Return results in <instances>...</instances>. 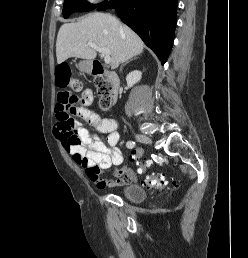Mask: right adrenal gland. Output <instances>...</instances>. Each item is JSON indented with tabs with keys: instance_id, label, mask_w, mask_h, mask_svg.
<instances>
[{
	"instance_id": "right-adrenal-gland-1",
	"label": "right adrenal gland",
	"mask_w": 248,
	"mask_h": 258,
	"mask_svg": "<svg viewBox=\"0 0 248 258\" xmlns=\"http://www.w3.org/2000/svg\"><path fill=\"white\" fill-rule=\"evenodd\" d=\"M134 59H136V57H134ZM131 60H132V59L127 60V61L121 66L120 71H122L123 67H124L125 65H127Z\"/></svg>"
}]
</instances>
